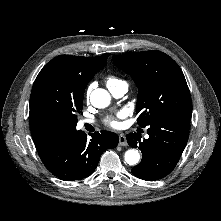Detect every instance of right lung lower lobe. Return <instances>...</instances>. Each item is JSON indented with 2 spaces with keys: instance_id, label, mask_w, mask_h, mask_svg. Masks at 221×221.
<instances>
[{
  "instance_id": "right-lung-lower-lobe-1",
  "label": "right lung lower lobe",
  "mask_w": 221,
  "mask_h": 221,
  "mask_svg": "<svg viewBox=\"0 0 221 221\" xmlns=\"http://www.w3.org/2000/svg\"><path fill=\"white\" fill-rule=\"evenodd\" d=\"M45 167L65 181L81 180L93 173L101 154L119 143L117 134L96 132L89 141L81 130L34 141Z\"/></svg>"
}]
</instances>
